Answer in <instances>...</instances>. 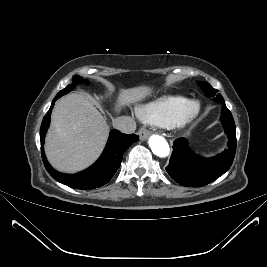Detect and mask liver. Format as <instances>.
<instances>
[{"mask_svg":"<svg viewBox=\"0 0 267 267\" xmlns=\"http://www.w3.org/2000/svg\"><path fill=\"white\" fill-rule=\"evenodd\" d=\"M150 92L148 87L124 89L117 107L140 102ZM108 134V124L93 103L82 94H68L56 102L51 114L45 143L47 158L59 171H80L99 157Z\"/></svg>","mask_w":267,"mask_h":267,"instance_id":"obj_1","label":"liver"}]
</instances>
